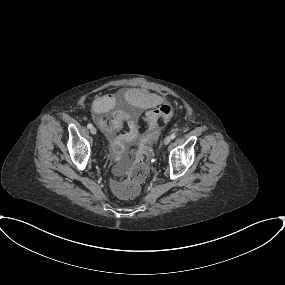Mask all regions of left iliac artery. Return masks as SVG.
<instances>
[{
    "instance_id": "left-iliac-artery-1",
    "label": "left iliac artery",
    "mask_w": 285,
    "mask_h": 285,
    "mask_svg": "<svg viewBox=\"0 0 285 285\" xmlns=\"http://www.w3.org/2000/svg\"><path fill=\"white\" fill-rule=\"evenodd\" d=\"M171 138H172V139L176 138V133H173V134L171 135Z\"/></svg>"
}]
</instances>
